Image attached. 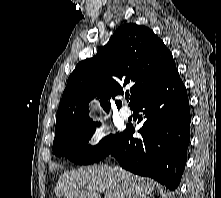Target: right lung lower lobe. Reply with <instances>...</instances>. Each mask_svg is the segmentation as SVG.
<instances>
[{
	"label": "right lung lower lobe",
	"mask_w": 221,
	"mask_h": 198,
	"mask_svg": "<svg viewBox=\"0 0 221 198\" xmlns=\"http://www.w3.org/2000/svg\"><path fill=\"white\" fill-rule=\"evenodd\" d=\"M142 111L144 124L133 138V125L126 127L114 156L121 167L148 176L175 190L187 159L190 140V108L178 71L145 95L133 108Z\"/></svg>",
	"instance_id": "98d812e1"
}]
</instances>
